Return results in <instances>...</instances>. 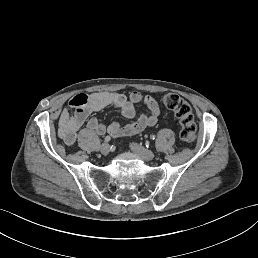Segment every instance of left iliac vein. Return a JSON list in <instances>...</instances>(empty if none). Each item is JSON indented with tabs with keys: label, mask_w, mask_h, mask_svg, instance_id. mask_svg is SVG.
Segmentation results:
<instances>
[{
	"label": "left iliac vein",
	"mask_w": 258,
	"mask_h": 258,
	"mask_svg": "<svg viewBox=\"0 0 258 258\" xmlns=\"http://www.w3.org/2000/svg\"><path fill=\"white\" fill-rule=\"evenodd\" d=\"M129 147L131 148V151L134 154H136L137 156L142 157V159L145 160V161H150V160L154 159V154L151 151L145 150V149L143 150V147L136 144V142L132 146L129 145Z\"/></svg>",
	"instance_id": "left-iliac-vein-1"
}]
</instances>
